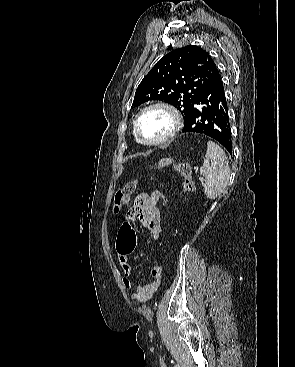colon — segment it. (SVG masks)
Returning <instances> with one entry per match:
<instances>
[{
    "label": "colon",
    "mask_w": 295,
    "mask_h": 367,
    "mask_svg": "<svg viewBox=\"0 0 295 367\" xmlns=\"http://www.w3.org/2000/svg\"><path fill=\"white\" fill-rule=\"evenodd\" d=\"M175 170L183 178L182 189L186 193H191L195 189V184L192 176L191 166L186 162L177 163L174 166ZM137 181H130L121 187L115 194L114 208L119 211L123 206L129 203L131 195L134 193L137 186ZM140 195L143 193L141 190L138 192ZM169 197L162 195L159 200V205H168ZM119 243L122 249H130L135 245V234L130 222L126 221L122 226L119 233Z\"/></svg>",
    "instance_id": "colon-1"
}]
</instances>
